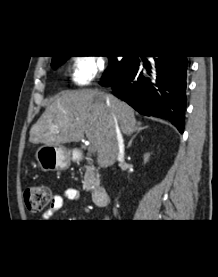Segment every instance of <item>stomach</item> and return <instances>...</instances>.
Segmentation results:
<instances>
[{
  "mask_svg": "<svg viewBox=\"0 0 218 277\" xmlns=\"http://www.w3.org/2000/svg\"><path fill=\"white\" fill-rule=\"evenodd\" d=\"M35 158L41 170H64L70 166L68 150L63 146L43 145L36 151Z\"/></svg>",
  "mask_w": 218,
  "mask_h": 277,
  "instance_id": "1",
  "label": "stomach"
}]
</instances>
